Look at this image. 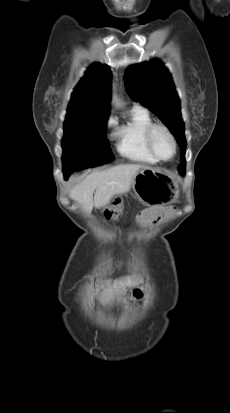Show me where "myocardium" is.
Listing matches in <instances>:
<instances>
[{
	"label": "myocardium",
	"instance_id": "myocardium-1",
	"mask_svg": "<svg viewBox=\"0 0 230 413\" xmlns=\"http://www.w3.org/2000/svg\"><path fill=\"white\" fill-rule=\"evenodd\" d=\"M157 129H162L163 131H165V133L169 136L172 144H173V154L171 155V157L165 159L160 157L157 152L154 149V145H153V136L154 133ZM145 142H146V146L149 150V152L151 153V155L160 162H168L171 161L177 153V141L176 138L174 136V134L172 133V131L170 130V128L163 124V123H152L145 132Z\"/></svg>",
	"mask_w": 230,
	"mask_h": 413
}]
</instances>
